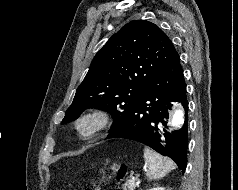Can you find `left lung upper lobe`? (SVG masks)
Listing matches in <instances>:
<instances>
[{
    "label": "left lung upper lobe",
    "mask_w": 238,
    "mask_h": 190,
    "mask_svg": "<svg viewBox=\"0 0 238 190\" xmlns=\"http://www.w3.org/2000/svg\"><path fill=\"white\" fill-rule=\"evenodd\" d=\"M176 55L171 40L157 25L146 20L129 22L95 55L62 123L77 119L87 108L101 109L113 115L110 133L153 76Z\"/></svg>",
    "instance_id": "left-lung-upper-lobe-1"
}]
</instances>
